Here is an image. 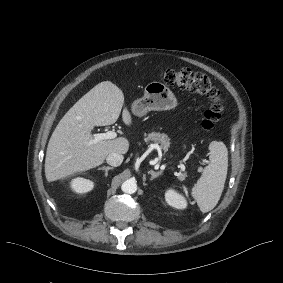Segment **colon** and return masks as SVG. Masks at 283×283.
Here are the masks:
<instances>
[{
	"instance_id": "obj_1",
	"label": "colon",
	"mask_w": 283,
	"mask_h": 283,
	"mask_svg": "<svg viewBox=\"0 0 283 283\" xmlns=\"http://www.w3.org/2000/svg\"><path fill=\"white\" fill-rule=\"evenodd\" d=\"M160 79L168 86L178 87L209 98L210 106L204 113L201 127L206 132L214 129L221 119L223 107L220 92L207 75L187 68L169 69L160 74Z\"/></svg>"
}]
</instances>
